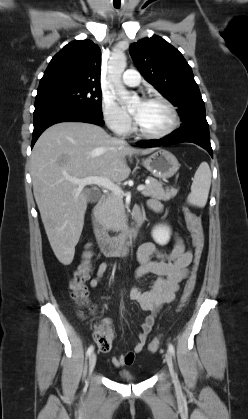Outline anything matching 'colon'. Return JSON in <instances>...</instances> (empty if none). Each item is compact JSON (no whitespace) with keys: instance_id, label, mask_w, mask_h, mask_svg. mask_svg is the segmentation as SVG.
Returning a JSON list of instances; mask_svg holds the SVG:
<instances>
[{"instance_id":"5ec220e1","label":"colon","mask_w":248,"mask_h":419,"mask_svg":"<svg viewBox=\"0 0 248 419\" xmlns=\"http://www.w3.org/2000/svg\"><path fill=\"white\" fill-rule=\"evenodd\" d=\"M184 217L194 247V264L192 272L185 282L179 309L183 308L188 303L195 289L196 268L204 248V233L200 218L188 208L184 209ZM92 254V249L87 247L83 253L82 262L74 272L69 285L71 297L79 305L82 313H88L94 310V307L88 300V291L86 287L92 268ZM112 336L113 333L111 328L104 324H98L93 332V339L97 345L107 344L112 339ZM161 344L162 337L158 336L149 343L148 349L151 353H154L160 348Z\"/></svg>"}]
</instances>
